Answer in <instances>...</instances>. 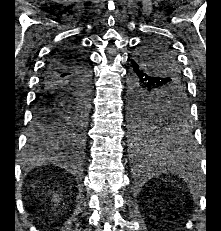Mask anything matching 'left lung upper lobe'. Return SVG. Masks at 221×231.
I'll use <instances>...</instances> for the list:
<instances>
[{"instance_id":"1","label":"left lung upper lobe","mask_w":221,"mask_h":231,"mask_svg":"<svg viewBox=\"0 0 221 231\" xmlns=\"http://www.w3.org/2000/svg\"><path fill=\"white\" fill-rule=\"evenodd\" d=\"M137 61L161 80L160 91L149 94L146 109L130 118L135 137L144 140L164 127L187 123L188 99L177 57L170 45L158 37L148 38Z\"/></svg>"}]
</instances>
